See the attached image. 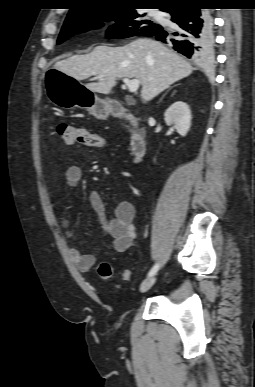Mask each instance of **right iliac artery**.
Returning a JSON list of instances; mask_svg holds the SVG:
<instances>
[{
    "mask_svg": "<svg viewBox=\"0 0 255 387\" xmlns=\"http://www.w3.org/2000/svg\"><path fill=\"white\" fill-rule=\"evenodd\" d=\"M158 268H159V264H155V265L152 267V269L149 271L148 277L153 276V275L158 271Z\"/></svg>",
    "mask_w": 255,
    "mask_h": 387,
    "instance_id": "82829eb1",
    "label": "right iliac artery"
}]
</instances>
